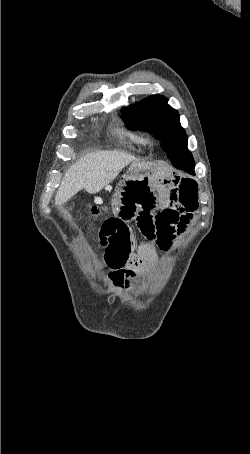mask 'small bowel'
I'll return each mask as SVG.
<instances>
[{"mask_svg":"<svg viewBox=\"0 0 250 454\" xmlns=\"http://www.w3.org/2000/svg\"><path fill=\"white\" fill-rule=\"evenodd\" d=\"M116 215L99 231L108 277L118 285L153 266L147 248L136 251L129 227L135 221L143 236L167 250L193 218L198 203L197 182L188 177L129 172L113 189Z\"/></svg>","mask_w":250,"mask_h":454,"instance_id":"c3829d8e","label":"small bowel"}]
</instances>
